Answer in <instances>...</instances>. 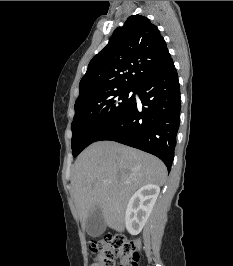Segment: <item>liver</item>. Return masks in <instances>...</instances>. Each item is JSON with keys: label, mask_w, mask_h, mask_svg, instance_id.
I'll list each match as a JSON object with an SVG mask.
<instances>
[{"label": "liver", "mask_w": 233, "mask_h": 266, "mask_svg": "<svg viewBox=\"0 0 233 266\" xmlns=\"http://www.w3.org/2000/svg\"><path fill=\"white\" fill-rule=\"evenodd\" d=\"M166 175L165 165L153 155L114 141L91 144L76 159L71 176V195L81 223L86 227L90 214L100 208L106 225L123 232L132 194L147 184L164 185Z\"/></svg>", "instance_id": "obj_1"}]
</instances>
